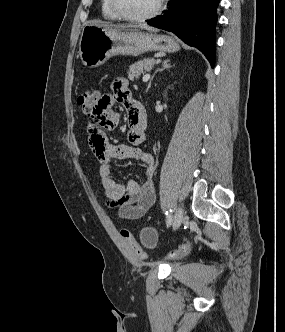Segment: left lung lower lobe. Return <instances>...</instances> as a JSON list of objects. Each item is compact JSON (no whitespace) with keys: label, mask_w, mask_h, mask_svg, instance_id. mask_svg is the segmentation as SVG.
Listing matches in <instances>:
<instances>
[{"label":"left lung lower lobe","mask_w":285,"mask_h":332,"mask_svg":"<svg viewBox=\"0 0 285 332\" xmlns=\"http://www.w3.org/2000/svg\"><path fill=\"white\" fill-rule=\"evenodd\" d=\"M218 4L219 0H171L163 15L146 22L173 32L186 44L198 48L213 68Z\"/></svg>","instance_id":"left-lung-lower-lobe-1"}]
</instances>
